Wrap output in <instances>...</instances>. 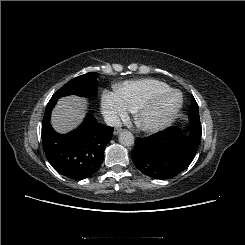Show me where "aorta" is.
Returning a JSON list of instances; mask_svg holds the SVG:
<instances>
[{
  "instance_id": "obj_1",
  "label": "aorta",
  "mask_w": 245,
  "mask_h": 245,
  "mask_svg": "<svg viewBox=\"0 0 245 245\" xmlns=\"http://www.w3.org/2000/svg\"><path fill=\"white\" fill-rule=\"evenodd\" d=\"M119 142L126 147L132 146L134 144V136L129 131H123L119 135Z\"/></svg>"
}]
</instances>
